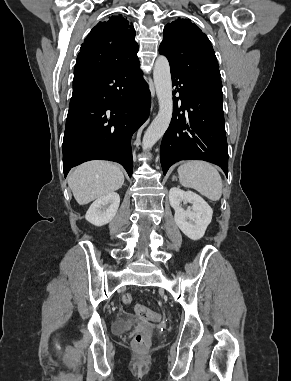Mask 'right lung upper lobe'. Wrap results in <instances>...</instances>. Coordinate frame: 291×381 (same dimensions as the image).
<instances>
[{
    "mask_svg": "<svg viewBox=\"0 0 291 381\" xmlns=\"http://www.w3.org/2000/svg\"><path fill=\"white\" fill-rule=\"evenodd\" d=\"M135 29L122 14L99 22L80 48L75 68L113 69L135 60Z\"/></svg>",
    "mask_w": 291,
    "mask_h": 381,
    "instance_id": "1",
    "label": "right lung upper lobe"
}]
</instances>
